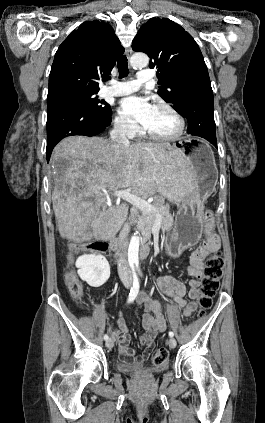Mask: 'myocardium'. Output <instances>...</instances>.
<instances>
[{
  "mask_svg": "<svg viewBox=\"0 0 265 423\" xmlns=\"http://www.w3.org/2000/svg\"><path fill=\"white\" fill-rule=\"evenodd\" d=\"M155 107L163 108L167 110L168 112H170L178 121V124H179L178 130L174 134H171V135H160V134H156L147 130L143 126L142 131L144 135H146L147 137L153 140H158V141H175L179 139L184 134L186 129V121L184 117L182 116V114L171 104L163 102V101L157 102L155 104Z\"/></svg>",
  "mask_w": 265,
  "mask_h": 423,
  "instance_id": "obj_1",
  "label": "myocardium"
}]
</instances>
